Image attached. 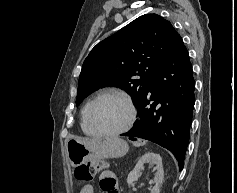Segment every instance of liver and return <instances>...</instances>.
Wrapping results in <instances>:
<instances>
[{"label":"liver","instance_id":"6515ba94","mask_svg":"<svg viewBox=\"0 0 237 193\" xmlns=\"http://www.w3.org/2000/svg\"><path fill=\"white\" fill-rule=\"evenodd\" d=\"M77 140L81 142H91V141H96V140H89V139H83V138H77Z\"/></svg>","mask_w":237,"mask_h":193}]
</instances>
